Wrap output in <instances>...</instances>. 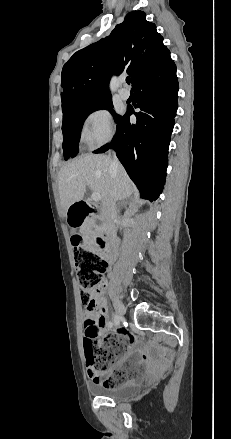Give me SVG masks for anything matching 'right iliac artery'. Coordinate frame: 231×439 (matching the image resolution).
Returning <instances> with one entry per match:
<instances>
[{
	"mask_svg": "<svg viewBox=\"0 0 231 439\" xmlns=\"http://www.w3.org/2000/svg\"><path fill=\"white\" fill-rule=\"evenodd\" d=\"M119 323H120V321L116 318V316H115V318H114V324L115 325H119Z\"/></svg>",
	"mask_w": 231,
	"mask_h": 439,
	"instance_id": "82829eb1",
	"label": "right iliac artery"
}]
</instances>
